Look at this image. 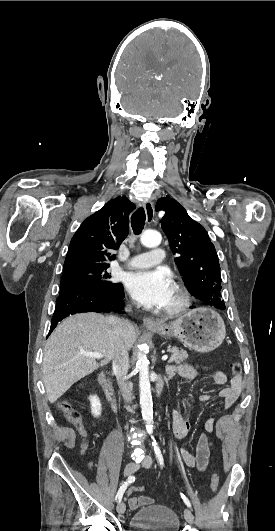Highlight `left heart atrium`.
<instances>
[{"instance_id":"obj_1","label":"left heart atrium","mask_w":275,"mask_h":531,"mask_svg":"<svg viewBox=\"0 0 275 531\" xmlns=\"http://www.w3.org/2000/svg\"><path fill=\"white\" fill-rule=\"evenodd\" d=\"M125 284L136 301L150 308H162L173 287L171 274L164 268L128 273Z\"/></svg>"}]
</instances>
